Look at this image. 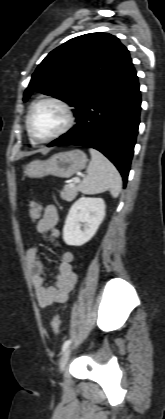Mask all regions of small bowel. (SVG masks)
Here are the masks:
<instances>
[{
    "label": "small bowel",
    "instance_id": "small-bowel-1",
    "mask_svg": "<svg viewBox=\"0 0 165 419\" xmlns=\"http://www.w3.org/2000/svg\"><path fill=\"white\" fill-rule=\"evenodd\" d=\"M59 215L54 205H48L37 220L36 227L40 233H49L57 240L60 236L57 224ZM74 254L69 250L60 251V262L57 267L55 284L47 285L44 276L45 265L39 258L36 247H31L26 252V262L29 268L35 297L42 308H48L54 304L63 303L67 300L70 291L74 288L77 276L73 271L72 262Z\"/></svg>",
    "mask_w": 165,
    "mask_h": 419
}]
</instances>
